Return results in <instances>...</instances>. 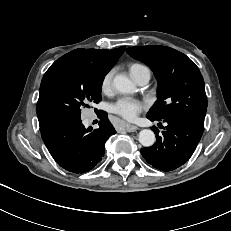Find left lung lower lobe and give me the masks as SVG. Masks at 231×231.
I'll list each match as a JSON object with an SVG mask.
<instances>
[{"label": "left lung lower lobe", "instance_id": "obj_1", "mask_svg": "<svg viewBox=\"0 0 231 231\" xmlns=\"http://www.w3.org/2000/svg\"><path fill=\"white\" fill-rule=\"evenodd\" d=\"M151 121L157 120L147 116ZM167 126L159 136V130L151 129L157 134V141L151 147L141 149L145 160L156 169L164 172L172 171L192 156L203 134L204 126L183 118H166Z\"/></svg>", "mask_w": 231, "mask_h": 231}]
</instances>
